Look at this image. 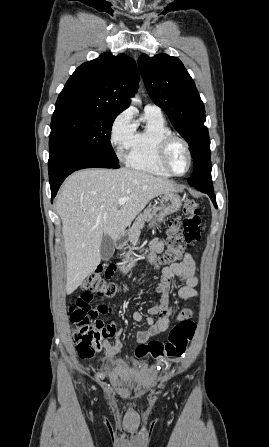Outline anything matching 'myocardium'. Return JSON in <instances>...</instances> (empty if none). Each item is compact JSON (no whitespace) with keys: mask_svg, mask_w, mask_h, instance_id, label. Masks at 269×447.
Listing matches in <instances>:
<instances>
[{"mask_svg":"<svg viewBox=\"0 0 269 447\" xmlns=\"http://www.w3.org/2000/svg\"><path fill=\"white\" fill-rule=\"evenodd\" d=\"M175 143L182 144L183 147L185 148L187 156H188V166H187L186 170L183 172H177L173 168V166L170 162V152H171V149ZM159 159H160L161 163L163 164V166L171 174H173L175 176H182L190 170L191 165H192V153H191L190 146H189L188 142L185 139H183L182 137L175 135V134L169 135V136L165 137L160 143Z\"/></svg>","mask_w":269,"mask_h":447,"instance_id":"obj_1","label":"myocardium"}]
</instances>
